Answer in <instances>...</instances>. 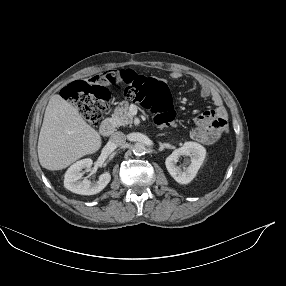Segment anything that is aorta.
<instances>
[{
  "label": "aorta",
  "instance_id": "obj_1",
  "mask_svg": "<svg viewBox=\"0 0 286 286\" xmlns=\"http://www.w3.org/2000/svg\"><path fill=\"white\" fill-rule=\"evenodd\" d=\"M133 152L135 155H144L146 153V147L143 143H135L133 146Z\"/></svg>",
  "mask_w": 286,
  "mask_h": 286
}]
</instances>
